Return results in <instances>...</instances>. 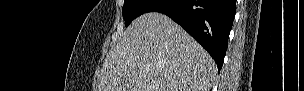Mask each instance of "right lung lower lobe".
<instances>
[{
	"instance_id": "1",
	"label": "right lung lower lobe",
	"mask_w": 304,
	"mask_h": 91,
	"mask_svg": "<svg viewBox=\"0 0 304 91\" xmlns=\"http://www.w3.org/2000/svg\"><path fill=\"white\" fill-rule=\"evenodd\" d=\"M147 12H160L180 24L222 68L235 12V0H155Z\"/></svg>"
}]
</instances>
